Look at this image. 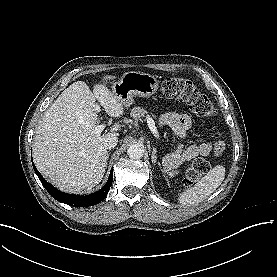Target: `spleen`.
I'll list each match as a JSON object with an SVG mask.
<instances>
[{"instance_id":"1","label":"spleen","mask_w":277,"mask_h":277,"mask_svg":"<svg viewBox=\"0 0 277 277\" xmlns=\"http://www.w3.org/2000/svg\"><path fill=\"white\" fill-rule=\"evenodd\" d=\"M225 168L222 165L215 166L193 187L180 194L178 200L183 205H193L205 200L223 182Z\"/></svg>"}]
</instances>
